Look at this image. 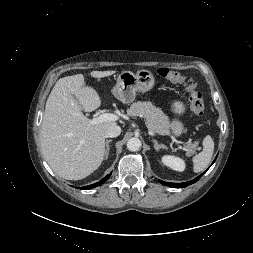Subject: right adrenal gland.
Listing matches in <instances>:
<instances>
[{"instance_id":"2a0ac1e0","label":"right adrenal gland","mask_w":253,"mask_h":253,"mask_svg":"<svg viewBox=\"0 0 253 253\" xmlns=\"http://www.w3.org/2000/svg\"><path fill=\"white\" fill-rule=\"evenodd\" d=\"M112 142V140H107L106 141V152H105V159L108 158V155H109V151H110V146H109V143Z\"/></svg>"}]
</instances>
